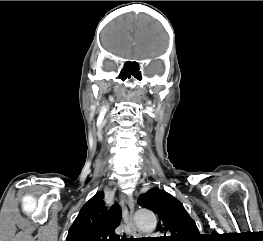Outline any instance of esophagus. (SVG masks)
<instances>
[{
	"label": "esophagus",
	"mask_w": 263,
	"mask_h": 241,
	"mask_svg": "<svg viewBox=\"0 0 263 241\" xmlns=\"http://www.w3.org/2000/svg\"><path fill=\"white\" fill-rule=\"evenodd\" d=\"M122 211H123V219L124 222L130 228L132 234L134 236H140V231L137 229L134 223L133 215H134V202L131 197L126 196L124 193L120 196Z\"/></svg>",
	"instance_id": "1"
}]
</instances>
